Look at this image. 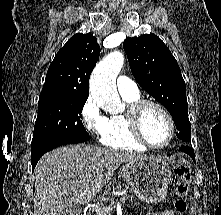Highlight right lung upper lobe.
Returning <instances> with one entry per match:
<instances>
[{
	"label": "right lung upper lobe",
	"instance_id": "1",
	"mask_svg": "<svg viewBox=\"0 0 221 215\" xmlns=\"http://www.w3.org/2000/svg\"><path fill=\"white\" fill-rule=\"evenodd\" d=\"M100 47L92 34L77 33L58 51L48 68L39 102L57 98H88L89 78Z\"/></svg>",
	"mask_w": 221,
	"mask_h": 215
}]
</instances>
